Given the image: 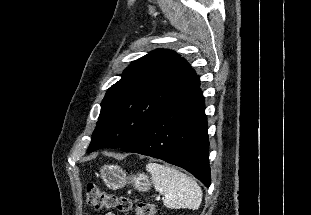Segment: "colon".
Listing matches in <instances>:
<instances>
[{
  "mask_svg": "<svg viewBox=\"0 0 311 215\" xmlns=\"http://www.w3.org/2000/svg\"><path fill=\"white\" fill-rule=\"evenodd\" d=\"M86 199L88 205L97 211L116 209L124 214L134 211L135 215H155V208L151 203L134 204L130 198L109 194L94 183L87 184Z\"/></svg>",
  "mask_w": 311,
  "mask_h": 215,
  "instance_id": "obj_1",
  "label": "colon"
}]
</instances>
